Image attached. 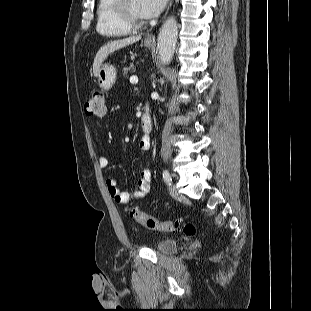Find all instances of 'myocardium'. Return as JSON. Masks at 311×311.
<instances>
[{"label":"myocardium","mask_w":311,"mask_h":311,"mask_svg":"<svg viewBox=\"0 0 311 311\" xmlns=\"http://www.w3.org/2000/svg\"><path fill=\"white\" fill-rule=\"evenodd\" d=\"M116 9L121 21L130 29H141L146 25L144 20L135 18L128 6L129 0H116Z\"/></svg>","instance_id":"obj_1"}]
</instances>
